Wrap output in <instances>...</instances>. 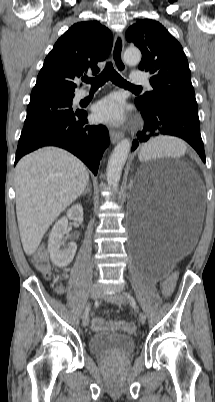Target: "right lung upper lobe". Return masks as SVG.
Segmentation results:
<instances>
[{
	"label": "right lung upper lobe",
	"instance_id": "cb5924a9",
	"mask_svg": "<svg viewBox=\"0 0 215 402\" xmlns=\"http://www.w3.org/2000/svg\"><path fill=\"white\" fill-rule=\"evenodd\" d=\"M111 32L98 21L71 26L45 58L31 100L64 96L74 97V79L87 72L97 74V63L105 60L112 48Z\"/></svg>",
	"mask_w": 215,
	"mask_h": 402
}]
</instances>
